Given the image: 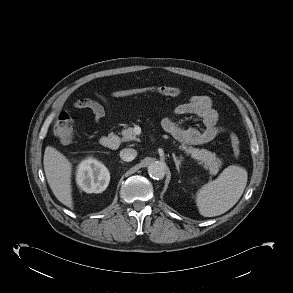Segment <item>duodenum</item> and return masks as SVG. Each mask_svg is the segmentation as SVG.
I'll return each mask as SVG.
<instances>
[{
  "mask_svg": "<svg viewBox=\"0 0 293 293\" xmlns=\"http://www.w3.org/2000/svg\"><path fill=\"white\" fill-rule=\"evenodd\" d=\"M100 143L107 149L115 150L119 147L120 139L116 135H106L100 139Z\"/></svg>",
  "mask_w": 293,
  "mask_h": 293,
  "instance_id": "duodenum-1",
  "label": "duodenum"
}]
</instances>
